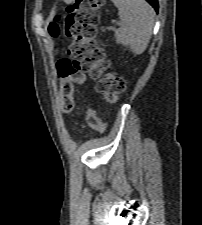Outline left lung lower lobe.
<instances>
[{
	"instance_id": "0a47b994",
	"label": "left lung lower lobe",
	"mask_w": 202,
	"mask_h": 225,
	"mask_svg": "<svg viewBox=\"0 0 202 225\" xmlns=\"http://www.w3.org/2000/svg\"><path fill=\"white\" fill-rule=\"evenodd\" d=\"M146 1L149 2L150 5H151L156 11H158V7H159V5H158V0H146Z\"/></svg>"
}]
</instances>
